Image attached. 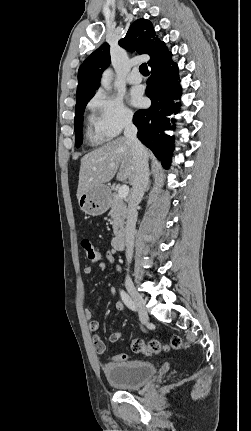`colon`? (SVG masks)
Wrapping results in <instances>:
<instances>
[{
    "label": "colon",
    "mask_w": 251,
    "mask_h": 431,
    "mask_svg": "<svg viewBox=\"0 0 251 431\" xmlns=\"http://www.w3.org/2000/svg\"><path fill=\"white\" fill-rule=\"evenodd\" d=\"M81 247L87 260L92 263L100 262L101 256L89 239L83 238L81 240ZM188 346V343L178 335L173 336L170 341L165 344L155 339L149 341H144L142 339H134L131 341V349L134 352L142 353L147 356L159 355L161 353L169 352L172 350L187 349ZM107 359L110 362H115V364L118 365L122 362H127L128 355L127 353H110L107 356Z\"/></svg>",
    "instance_id": "1"
}]
</instances>
